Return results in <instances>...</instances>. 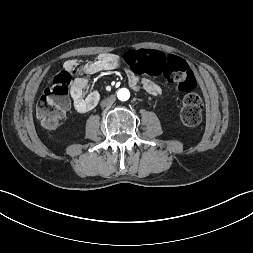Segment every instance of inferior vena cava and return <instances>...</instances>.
<instances>
[{
    "label": "inferior vena cava",
    "instance_id": "1",
    "mask_svg": "<svg viewBox=\"0 0 253 253\" xmlns=\"http://www.w3.org/2000/svg\"><path fill=\"white\" fill-rule=\"evenodd\" d=\"M114 101H115V97H108L104 99L100 105L101 107H109L114 103Z\"/></svg>",
    "mask_w": 253,
    "mask_h": 253
}]
</instances>
